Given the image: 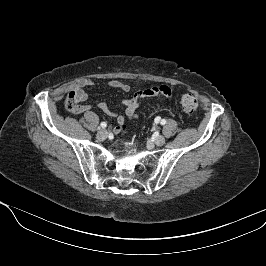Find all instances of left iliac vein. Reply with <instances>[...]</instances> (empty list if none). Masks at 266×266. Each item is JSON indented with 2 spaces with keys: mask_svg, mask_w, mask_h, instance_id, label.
Segmentation results:
<instances>
[{
  "mask_svg": "<svg viewBox=\"0 0 266 266\" xmlns=\"http://www.w3.org/2000/svg\"><path fill=\"white\" fill-rule=\"evenodd\" d=\"M154 143L157 145V146H162L165 144V138L161 135L155 137L154 139Z\"/></svg>",
  "mask_w": 266,
  "mask_h": 266,
  "instance_id": "obj_1",
  "label": "left iliac vein"
}]
</instances>
